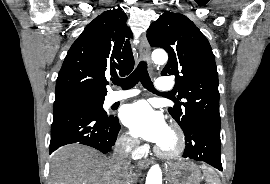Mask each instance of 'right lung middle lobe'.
<instances>
[{
	"instance_id": "obj_1",
	"label": "right lung middle lobe",
	"mask_w": 270,
	"mask_h": 184,
	"mask_svg": "<svg viewBox=\"0 0 270 184\" xmlns=\"http://www.w3.org/2000/svg\"><path fill=\"white\" fill-rule=\"evenodd\" d=\"M68 102H85L94 110L97 115L102 118H108L106 112L103 109L104 97L77 95L63 96L55 98L54 105Z\"/></svg>"
}]
</instances>
